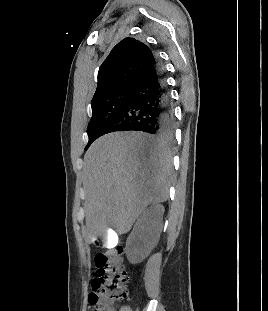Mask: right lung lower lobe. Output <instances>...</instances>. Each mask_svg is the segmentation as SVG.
<instances>
[{"mask_svg": "<svg viewBox=\"0 0 268 311\" xmlns=\"http://www.w3.org/2000/svg\"><path fill=\"white\" fill-rule=\"evenodd\" d=\"M174 124L164 72L156 59L155 65L135 84L132 97L107 127L105 134L115 131H142L171 141Z\"/></svg>", "mask_w": 268, "mask_h": 311, "instance_id": "obj_1", "label": "right lung lower lobe"}]
</instances>
